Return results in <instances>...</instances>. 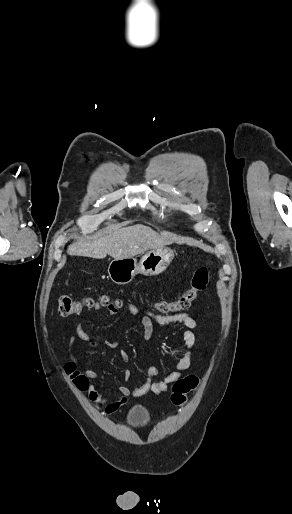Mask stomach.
Segmentation results:
<instances>
[{
  "label": "stomach",
  "instance_id": "obj_1",
  "mask_svg": "<svg viewBox=\"0 0 292 514\" xmlns=\"http://www.w3.org/2000/svg\"><path fill=\"white\" fill-rule=\"evenodd\" d=\"M173 260V254L167 248H155L142 256L140 262L136 258H122L112 260L109 264L108 274L114 284H129L136 274L143 276H158L168 268Z\"/></svg>",
  "mask_w": 292,
  "mask_h": 514
}]
</instances>
